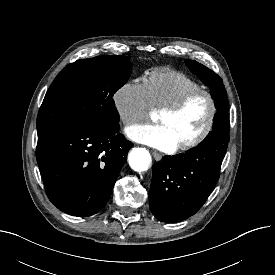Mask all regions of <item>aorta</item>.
<instances>
[{
  "mask_svg": "<svg viewBox=\"0 0 275 275\" xmlns=\"http://www.w3.org/2000/svg\"><path fill=\"white\" fill-rule=\"evenodd\" d=\"M128 160L130 167L137 172L146 171L151 165V156L143 148H133L129 153Z\"/></svg>",
  "mask_w": 275,
  "mask_h": 275,
  "instance_id": "1",
  "label": "aorta"
}]
</instances>
